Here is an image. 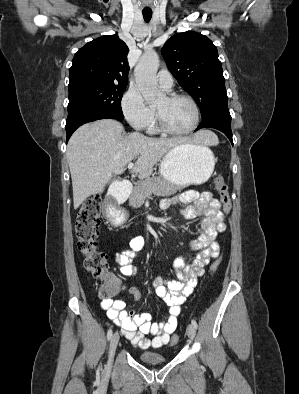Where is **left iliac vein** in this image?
Wrapping results in <instances>:
<instances>
[{
  "label": "left iliac vein",
  "mask_w": 299,
  "mask_h": 394,
  "mask_svg": "<svg viewBox=\"0 0 299 394\" xmlns=\"http://www.w3.org/2000/svg\"><path fill=\"white\" fill-rule=\"evenodd\" d=\"M186 332H187V335H188V337H189L190 339H194L195 334H196V330H195V327H194L192 324H189V325L187 326Z\"/></svg>",
  "instance_id": "4c4485c4"
}]
</instances>
